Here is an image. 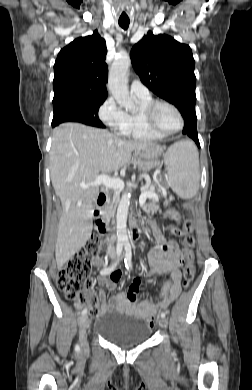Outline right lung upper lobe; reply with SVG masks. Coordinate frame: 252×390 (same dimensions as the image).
<instances>
[{"instance_id": "right-lung-upper-lobe-1", "label": "right lung upper lobe", "mask_w": 252, "mask_h": 390, "mask_svg": "<svg viewBox=\"0 0 252 390\" xmlns=\"http://www.w3.org/2000/svg\"><path fill=\"white\" fill-rule=\"evenodd\" d=\"M106 53V42L97 30L61 49L54 64L53 102L67 98L106 99Z\"/></svg>"}]
</instances>
